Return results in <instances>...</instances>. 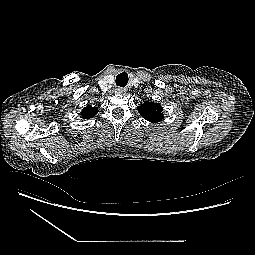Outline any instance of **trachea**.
Segmentation results:
<instances>
[{
    "label": "trachea",
    "mask_w": 255,
    "mask_h": 255,
    "mask_svg": "<svg viewBox=\"0 0 255 255\" xmlns=\"http://www.w3.org/2000/svg\"><path fill=\"white\" fill-rule=\"evenodd\" d=\"M116 84H117L118 86H120V87H124V85H122V84L118 83V81H117V80H116Z\"/></svg>",
    "instance_id": "obj_1"
}]
</instances>
